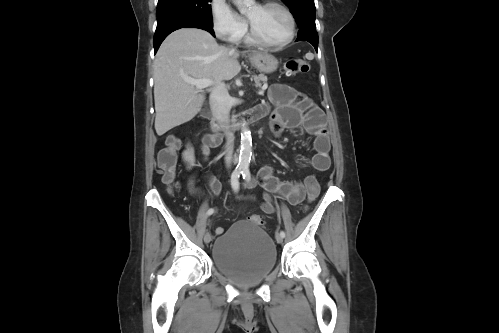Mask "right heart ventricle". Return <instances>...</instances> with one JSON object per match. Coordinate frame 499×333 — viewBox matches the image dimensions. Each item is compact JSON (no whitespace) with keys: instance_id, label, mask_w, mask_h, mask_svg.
I'll use <instances>...</instances> for the list:
<instances>
[{"instance_id":"obj_1","label":"right heart ventricle","mask_w":499,"mask_h":333,"mask_svg":"<svg viewBox=\"0 0 499 333\" xmlns=\"http://www.w3.org/2000/svg\"><path fill=\"white\" fill-rule=\"evenodd\" d=\"M244 41H245V43H247V44H253V43H254V42L250 39V37H249V36H246V37L244 38Z\"/></svg>"}]
</instances>
